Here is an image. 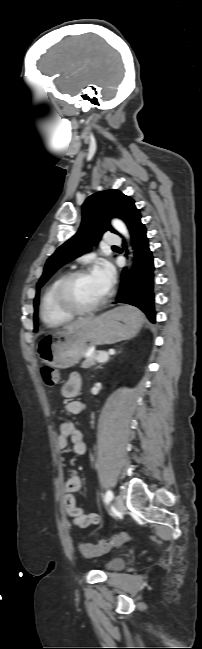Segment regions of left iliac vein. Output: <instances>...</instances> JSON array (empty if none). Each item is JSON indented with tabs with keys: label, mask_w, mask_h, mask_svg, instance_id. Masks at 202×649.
Returning a JSON list of instances; mask_svg holds the SVG:
<instances>
[{
	"label": "left iliac vein",
	"mask_w": 202,
	"mask_h": 649,
	"mask_svg": "<svg viewBox=\"0 0 202 649\" xmlns=\"http://www.w3.org/2000/svg\"><path fill=\"white\" fill-rule=\"evenodd\" d=\"M114 505H115V509H116L118 512H120V513H123V512H124V510H125V505H124L123 498H122L120 495H117V496L115 497V499H114Z\"/></svg>",
	"instance_id": "obj_1"
}]
</instances>
